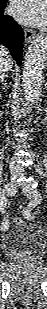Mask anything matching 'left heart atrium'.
<instances>
[{"label": "left heart atrium", "mask_w": 47, "mask_h": 309, "mask_svg": "<svg viewBox=\"0 0 47 309\" xmlns=\"http://www.w3.org/2000/svg\"><path fill=\"white\" fill-rule=\"evenodd\" d=\"M12 15L23 24L41 26L47 19L45 0H14Z\"/></svg>", "instance_id": "obj_1"}]
</instances>
